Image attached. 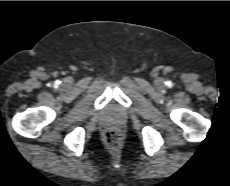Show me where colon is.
<instances>
[{"instance_id":"1","label":"colon","mask_w":230,"mask_h":186,"mask_svg":"<svg viewBox=\"0 0 230 186\" xmlns=\"http://www.w3.org/2000/svg\"><path fill=\"white\" fill-rule=\"evenodd\" d=\"M105 144L110 148H117L121 141V133L116 128H108L104 132Z\"/></svg>"}]
</instances>
